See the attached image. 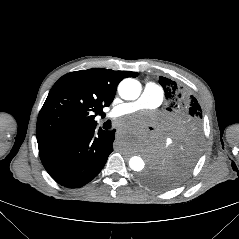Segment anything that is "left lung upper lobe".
Returning <instances> with one entry per match:
<instances>
[{"label":"left lung upper lobe","instance_id":"obj_1","mask_svg":"<svg viewBox=\"0 0 239 239\" xmlns=\"http://www.w3.org/2000/svg\"><path fill=\"white\" fill-rule=\"evenodd\" d=\"M159 83L168 100L169 138L166 148L142 181L157 189L178 185L190 173L202 147V110L187 88L166 77Z\"/></svg>","mask_w":239,"mask_h":239}]
</instances>
